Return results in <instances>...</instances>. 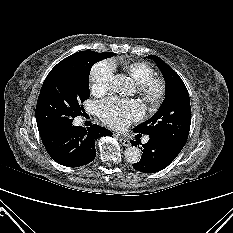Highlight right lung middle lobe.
Listing matches in <instances>:
<instances>
[{
	"mask_svg": "<svg viewBox=\"0 0 233 233\" xmlns=\"http://www.w3.org/2000/svg\"><path fill=\"white\" fill-rule=\"evenodd\" d=\"M115 53L77 52L60 61L47 75L36 106L40 134L63 130L82 115V103L89 98V74L98 61Z\"/></svg>",
	"mask_w": 233,
	"mask_h": 233,
	"instance_id": "right-lung-middle-lobe-1",
	"label": "right lung middle lobe"
}]
</instances>
